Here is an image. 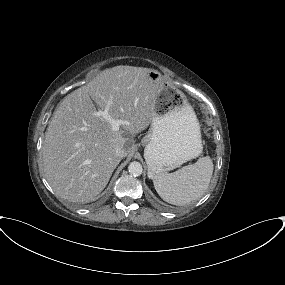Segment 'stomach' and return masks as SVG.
I'll use <instances>...</instances> for the list:
<instances>
[{
	"instance_id": "obj_1",
	"label": "stomach",
	"mask_w": 285,
	"mask_h": 285,
	"mask_svg": "<svg viewBox=\"0 0 285 285\" xmlns=\"http://www.w3.org/2000/svg\"><path fill=\"white\" fill-rule=\"evenodd\" d=\"M148 79L157 85L151 127L142 143L148 177L176 169L203 150L200 126L187 97L149 69Z\"/></svg>"
}]
</instances>
